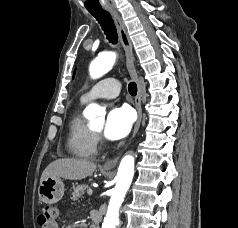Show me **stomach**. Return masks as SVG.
Returning <instances> with one entry per match:
<instances>
[{
    "label": "stomach",
    "mask_w": 238,
    "mask_h": 228,
    "mask_svg": "<svg viewBox=\"0 0 238 228\" xmlns=\"http://www.w3.org/2000/svg\"><path fill=\"white\" fill-rule=\"evenodd\" d=\"M107 174V171H103ZM38 195L42 202L53 204L60 201L64 195V183L61 178L47 177L41 181L38 188Z\"/></svg>",
    "instance_id": "obj_1"
}]
</instances>
